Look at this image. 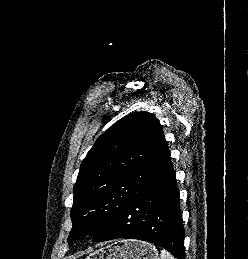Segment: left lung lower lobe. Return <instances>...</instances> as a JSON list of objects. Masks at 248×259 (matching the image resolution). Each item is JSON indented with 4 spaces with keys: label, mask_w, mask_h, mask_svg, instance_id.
I'll use <instances>...</instances> for the list:
<instances>
[{
    "label": "left lung lower lobe",
    "mask_w": 248,
    "mask_h": 259,
    "mask_svg": "<svg viewBox=\"0 0 248 259\" xmlns=\"http://www.w3.org/2000/svg\"><path fill=\"white\" fill-rule=\"evenodd\" d=\"M175 171L164 176L134 200L93 242L116 238L138 239L157 244L177 259H185L182 216Z\"/></svg>",
    "instance_id": "obj_1"
}]
</instances>
